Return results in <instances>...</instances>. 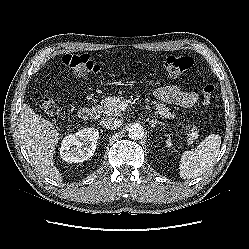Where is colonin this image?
Masks as SVG:
<instances>
[{"label":"colon","instance_id":"5ec220e1","mask_svg":"<svg viewBox=\"0 0 249 249\" xmlns=\"http://www.w3.org/2000/svg\"><path fill=\"white\" fill-rule=\"evenodd\" d=\"M63 63L71 68L78 76L87 77L100 73L103 69L88 54H66L62 58ZM193 66V59L189 56H168L163 63V71L169 76H177ZM215 87L207 84L203 87L202 98L205 104L212 100ZM40 107L51 119H57L63 109V101L59 98H43Z\"/></svg>","mask_w":249,"mask_h":249}]
</instances>
